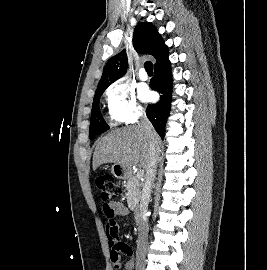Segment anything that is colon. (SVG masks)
Here are the masks:
<instances>
[{
  "mask_svg": "<svg viewBox=\"0 0 267 270\" xmlns=\"http://www.w3.org/2000/svg\"><path fill=\"white\" fill-rule=\"evenodd\" d=\"M96 186L100 191L101 199L108 202L121 194V188L115 179L108 174L99 175L96 178ZM112 265L114 270L121 269V260L117 256L112 257Z\"/></svg>",
  "mask_w": 267,
  "mask_h": 270,
  "instance_id": "colon-1",
  "label": "colon"
}]
</instances>
